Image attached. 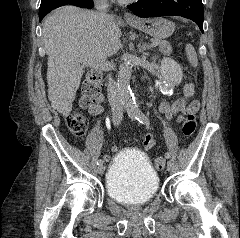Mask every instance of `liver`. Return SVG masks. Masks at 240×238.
Wrapping results in <instances>:
<instances>
[{
    "mask_svg": "<svg viewBox=\"0 0 240 238\" xmlns=\"http://www.w3.org/2000/svg\"><path fill=\"white\" fill-rule=\"evenodd\" d=\"M48 55L47 83L51 106L67 117L86 63L100 64L121 46V30L113 18L101 23L93 12L63 6L43 21Z\"/></svg>",
    "mask_w": 240,
    "mask_h": 238,
    "instance_id": "1",
    "label": "liver"
}]
</instances>
